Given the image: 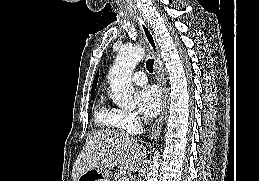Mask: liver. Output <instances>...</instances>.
<instances>
[{
	"mask_svg": "<svg viewBox=\"0 0 259 181\" xmlns=\"http://www.w3.org/2000/svg\"><path fill=\"white\" fill-rule=\"evenodd\" d=\"M143 146L124 132L99 130L88 135L85 145L77 157L72 181L91 168L111 169L118 166L127 172H136L145 163Z\"/></svg>",
	"mask_w": 259,
	"mask_h": 181,
	"instance_id": "liver-1",
	"label": "liver"
}]
</instances>
